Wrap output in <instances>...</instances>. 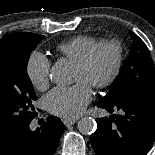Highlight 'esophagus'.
Listing matches in <instances>:
<instances>
[{"mask_svg":"<svg viewBox=\"0 0 155 155\" xmlns=\"http://www.w3.org/2000/svg\"><path fill=\"white\" fill-rule=\"evenodd\" d=\"M77 119H65L64 124L69 127L71 125H74L76 123Z\"/></svg>","mask_w":155,"mask_h":155,"instance_id":"esophagus-1","label":"esophagus"}]
</instances>
